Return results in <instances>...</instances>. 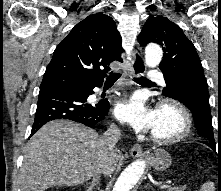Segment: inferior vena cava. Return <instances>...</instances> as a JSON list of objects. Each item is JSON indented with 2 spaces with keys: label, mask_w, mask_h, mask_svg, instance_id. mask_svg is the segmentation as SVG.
Wrapping results in <instances>:
<instances>
[{
  "label": "inferior vena cava",
  "mask_w": 221,
  "mask_h": 191,
  "mask_svg": "<svg viewBox=\"0 0 221 191\" xmlns=\"http://www.w3.org/2000/svg\"><path fill=\"white\" fill-rule=\"evenodd\" d=\"M120 136H121L120 130L117 127H112L101 137V142L104 146L103 148L104 157L102 159L100 169L93 174L92 183L96 182V180L99 178L100 173L103 174L106 173L112 157L117 155L115 145L118 142Z\"/></svg>",
  "instance_id": "602c4592"
}]
</instances>
